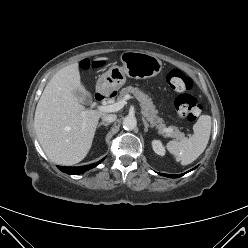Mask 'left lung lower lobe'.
<instances>
[{
    "mask_svg": "<svg viewBox=\"0 0 248 248\" xmlns=\"http://www.w3.org/2000/svg\"><path fill=\"white\" fill-rule=\"evenodd\" d=\"M160 175L166 176V177H170V178H178L181 177L183 174H179V175H169V174H163V173H159Z\"/></svg>",
    "mask_w": 248,
    "mask_h": 248,
    "instance_id": "0a47b994",
    "label": "left lung lower lobe"
}]
</instances>
